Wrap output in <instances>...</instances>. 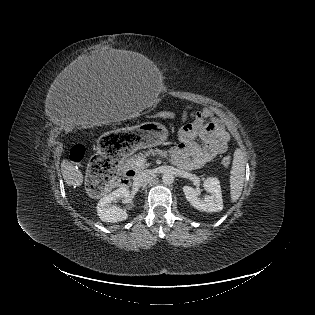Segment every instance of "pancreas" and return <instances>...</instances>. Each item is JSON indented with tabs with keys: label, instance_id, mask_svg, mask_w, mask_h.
<instances>
[{
	"label": "pancreas",
	"instance_id": "1",
	"mask_svg": "<svg viewBox=\"0 0 315 315\" xmlns=\"http://www.w3.org/2000/svg\"><path fill=\"white\" fill-rule=\"evenodd\" d=\"M149 155L166 157L167 151L156 149V150H150V151L146 152L145 154L138 153L136 155H133L131 158L126 160V163H125L126 169L134 170L135 172H139V171L147 168L148 164L145 163V159H146V156H149ZM140 161H143V164L139 166L138 162H140Z\"/></svg>",
	"mask_w": 315,
	"mask_h": 315
}]
</instances>
